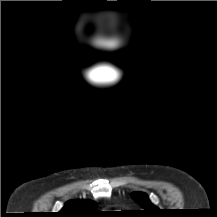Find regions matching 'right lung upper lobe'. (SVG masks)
<instances>
[{
    "instance_id": "1",
    "label": "right lung upper lobe",
    "mask_w": 217,
    "mask_h": 217,
    "mask_svg": "<svg viewBox=\"0 0 217 217\" xmlns=\"http://www.w3.org/2000/svg\"><path fill=\"white\" fill-rule=\"evenodd\" d=\"M97 204L88 200H76L67 202L56 217H93L96 215Z\"/></svg>"
}]
</instances>
